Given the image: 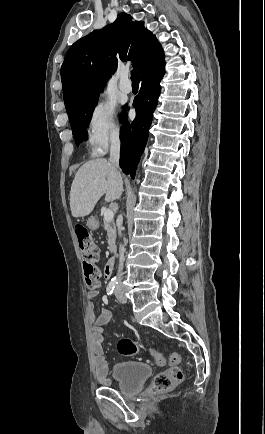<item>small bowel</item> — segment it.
Returning a JSON list of instances; mask_svg holds the SVG:
<instances>
[{
    "label": "small bowel",
    "instance_id": "obj_1",
    "mask_svg": "<svg viewBox=\"0 0 265 434\" xmlns=\"http://www.w3.org/2000/svg\"><path fill=\"white\" fill-rule=\"evenodd\" d=\"M97 289H90L87 292V310L92 322L91 328V349L93 353L92 358V372L97 381H100L102 387L109 385V380L106 378L108 375V364L104 350V326L111 320L112 311L104 307L101 309L98 316L94 313V300L98 296ZM172 365L169 361L162 365Z\"/></svg>",
    "mask_w": 265,
    "mask_h": 434
}]
</instances>
